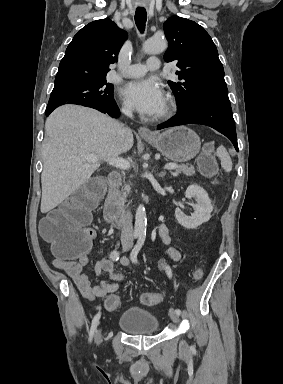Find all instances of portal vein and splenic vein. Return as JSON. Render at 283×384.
I'll list each match as a JSON object with an SVG mask.
<instances>
[{"label":"portal vein and splenic vein","instance_id":"1","mask_svg":"<svg viewBox=\"0 0 283 384\" xmlns=\"http://www.w3.org/2000/svg\"><path fill=\"white\" fill-rule=\"evenodd\" d=\"M86 160L87 162H97V156L87 154ZM107 162L110 166H115V168H120V170H128L130 168L128 160H123V158H110ZM175 168H178L177 164H166L165 166V170H175Z\"/></svg>","mask_w":283,"mask_h":384}]
</instances>
